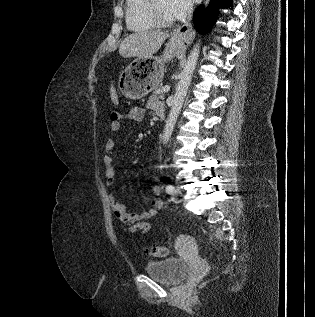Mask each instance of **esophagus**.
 <instances>
[{
  "label": "esophagus",
  "instance_id": "obj_1",
  "mask_svg": "<svg viewBox=\"0 0 315 317\" xmlns=\"http://www.w3.org/2000/svg\"><path fill=\"white\" fill-rule=\"evenodd\" d=\"M193 35L194 32L190 24L183 25L172 33V37L184 47H187L191 43Z\"/></svg>",
  "mask_w": 315,
  "mask_h": 317
}]
</instances>
